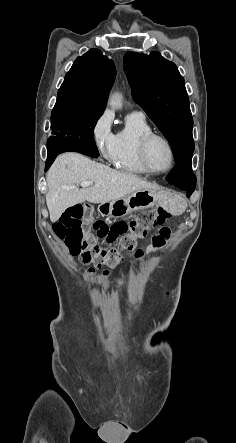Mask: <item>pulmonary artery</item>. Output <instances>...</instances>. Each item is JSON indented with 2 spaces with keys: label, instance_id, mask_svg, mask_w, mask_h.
Wrapping results in <instances>:
<instances>
[{
  "label": "pulmonary artery",
  "instance_id": "e3ab8cb5",
  "mask_svg": "<svg viewBox=\"0 0 236 443\" xmlns=\"http://www.w3.org/2000/svg\"><path fill=\"white\" fill-rule=\"evenodd\" d=\"M132 113H133V114H136V115H140V116H144V115H145V114H144V111H143V110H140V109H136V110H134Z\"/></svg>",
  "mask_w": 236,
  "mask_h": 443
}]
</instances>
